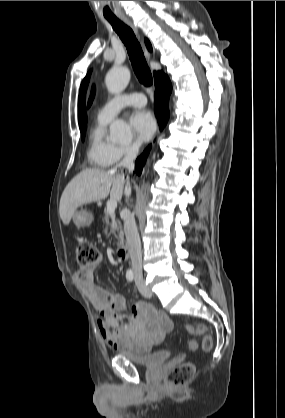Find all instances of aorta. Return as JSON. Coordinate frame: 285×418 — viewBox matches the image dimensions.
I'll list each match as a JSON object with an SVG mask.
<instances>
[{
    "instance_id": "1",
    "label": "aorta",
    "mask_w": 285,
    "mask_h": 418,
    "mask_svg": "<svg viewBox=\"0 0 285 418\" xmlns=\"http://www.w3.org/2000/svg\"><path fill=\"white\" fill-rule=\"evenodd\" d=\"M130 81V71L125 66L111 68L105 77V84L112 94L124 91ZM131 129L123 120H115L110 125V139L113 142L123 143L131 138Z\"/></svg>"
}]
</instances>
